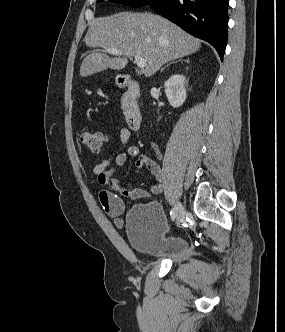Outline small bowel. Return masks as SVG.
<instances>
[{"mask_svg":"<svg viewBox=\"0 0 285 332\" xmlns=\"http://www.w3.org/2000/svg\"><path fill=\"white\" fill-rule=\"evenodd\" d=\"M118 134L121 144L127 145L126 151L118 152L113 160L105 158L97 163L93 168V174L99 185L103 187L108 186L110 188H100L98 197L107 215L114 219V223L117 227L121 228L123 226L121 215L125 210L121 196L133 200L147 198L152 194L161 193L163 185L160 165L149 156L140 154L138 146L128 145L131 137L130 130L126 127H121ZM129 157L136 158V173H139L143 168H147L150 174L156 178L157 183H153L149 190L135 188L130 183L122 185L119 180L114 177L115 166L124 165Z\"/></svg>","mask_w":285,"mask_h":332,"instance_id":"c3829d8e","label":"small bowel"}]
</instances>
